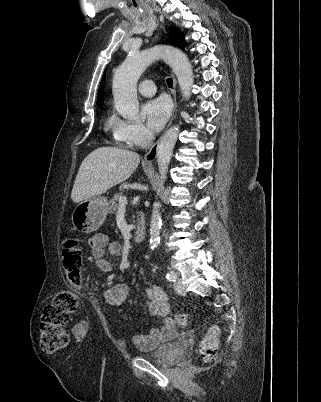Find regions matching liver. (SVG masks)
Segmentation results:
<instances>
[{"instance_id": "6515ba94", "label": "liver", "mask_w": 321, "mask_h": 402, "mask_svg": "<svg viewBox=\"0 0 321 402\" xmlns=\"http://www.w3.org/2000/svg\"><path fill=\"white\" fill-rule=\"evenodd\" d=\"M140 163L138 153L116 147H100L81 163L71 192V199L80 203L101 195L127 180Z\"/></svg>"}]
</instances>
